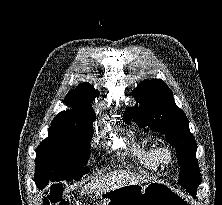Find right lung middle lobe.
<instances>
[{
  "label": "right lung middle lobe",
  "mask_w": 222,
  "mask_h": 205,
  "mask_svg": "<svg viewBox=\"0 0 222 205\" xmlns=\"http://www.w3.org/2000/svg\"><path fill=\"white\" fill-rule=\"evenodd\" d=\"M93 122L52 123L48 138L36 150L35 182L78 181L89 172L84 165L90 156Z\"/></svg>",
  "instance_id": "right-lung-middle-lobe-1"
}]
</instances>
